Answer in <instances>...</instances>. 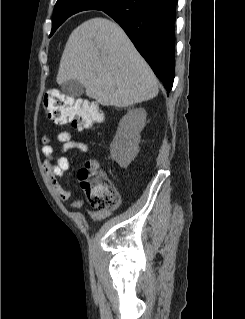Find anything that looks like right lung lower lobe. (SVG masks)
I'll list each match as a JSON object with an SVG mask.
<instances>
[{
  "label": "right lung lower lobe",
  "instance_id": "98d812e1",
  "mask_svg": "<svg viewBox=\"0 0 245 319\" xmlns=\"http://www.w3.org/2000/svg\"><path fill=\"white\" fill-rule=\"evenodd\" d=\"M178 0H122L104 9L129 36L170 92L175 72L176 3Z\"/></svg>",
  "mask_w": 245,
  "mask_h": 319
}]
</instances>
